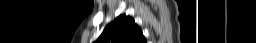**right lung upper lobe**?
<instances>
[{"label":"right lung upper lobe","mask_w":256,"mask_h":43,"mask_svg":"<svg viewBox=\"0 0 256 43\" xmlns=\"http://www.w3.org/2000/svg\"><path fill=\"white\" fill-rule=\"evenodd\" d=\"M96 43H147L130 16L120 15L106 26Z\"/></svg>","instance_id":"right-lung-upper-lobe-1"}]
</instances>
